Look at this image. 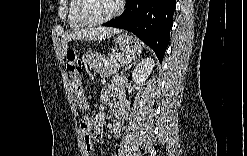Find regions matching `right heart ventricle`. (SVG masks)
I'll use <instances>...</instances> for the list:
<instances>
[{
  "mask_svg": "<svg viewBox=\"0 0 247 156\" xmlns=\"http://www.w3.org/2000/svg\"><path fill=\"white\" fill-rule=\"evenodd\" d=\"M80 0H71L68 7V22L72 29H81L85 25L82 24L77 17V9Z\"/></svg>",
  "mask_w": 247,
  "mask_h": 156,
  "instance_id": "right-heart-ventricle-1",
  "label": "right heart ventricle"
}]
</instances>
